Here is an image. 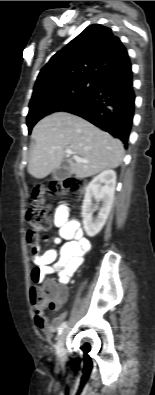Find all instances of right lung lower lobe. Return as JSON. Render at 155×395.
Listing matches in <instances>:
<instances>
[{
	"instance_id": "98d812e1",
	"label": "right lung lower lobe",
	"mask_w": 155,
	"mask_h": 395,
	"mask_svg": "<svg viewBox=\"0 0 155 395\" xmlns=\"http://www.w3.org/2000/svg\"><path fill=\"white\" fill-rule=\"evenodd\" d=\"M131 67L107 74L98 88L63 111L78 115L114 137L127 142L135 105Z\"/></svg>"
}]
</instances>
